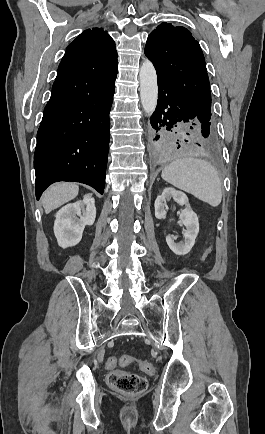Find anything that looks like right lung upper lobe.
<instances>
[{"label":"right lung upper lobe","mask_w":265,"mask_h":434,"mask_svg":"<svg viewBox=\"0 0 265 434\" xmlns=\"http://www.w3.org/2000/svg\"><path fill=\"white\" fill-rule=\"evenodd\" d=\"M66 51L78 52H116L115 42L103 28H92L81 33Z\"/></svg>","instance_id":"cb5924a9"}]
</instances>
